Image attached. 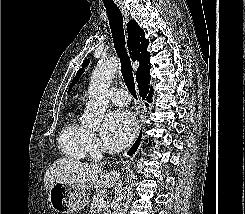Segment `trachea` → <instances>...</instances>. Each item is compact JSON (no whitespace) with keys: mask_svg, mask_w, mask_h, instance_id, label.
I'll list each match as a JSON object with an SVG mask.
<instances>
[{"mask_svg":"<svg viewBox=\"0 0 245 214\" xmlns=\"http://www.w3.org/2000/svg\"><path fill=\"white\" fill-rule=\"evenodd\" d=\"M104 6L106 8V13L109 19V25L112 33L114 47L120 59L121 73L124 82L128 90L133 95V97L137 99L131 61H130V57L126 52L122 13L116 4L104 3Z\"/></svg>","mask_w":245,"mask_h":214,"instance_id":"1","label":"trachea"}]
</instances>
